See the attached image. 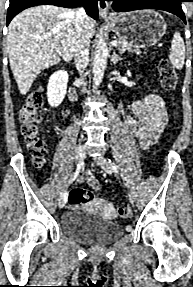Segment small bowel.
<instances>
[{"label":"small bowel","instance_id":"small-bowel-1","mask_svg":"<svg viewBox=\"0 0 193 287\" xmlns=\"http://www.w3.org/2000/svg\"><path fill=\"white\" fill-rule=\"evenodd\" d=\"M124 120L131 133L139 140L140 146L147 148L156 142L166 126L164 102L158 95L148 93L133 105L132 115H124ZM82 179L94 188L100 187L98 181L90 174H85Z\"/></svg>","mask_w":193,"mask_h":287}]
</instances>
